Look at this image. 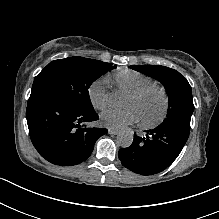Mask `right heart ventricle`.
Instances as JSON below:
<instances>
[{"label": "right heart ventricle", "instance_id": "obj_1", "mask_svg": "<svg viewBox=\"0 0 219 219\" xmlns=\"http://www.w3.org/2000/svg\"><path fill=\"white\" fill-rule=\"evenodd\" d=\"M113 83L120 89L131 93L146 85L154 84L155 81L139 71L122 69L114 74Z\"/></svg>", "mask_w": 219, "mask_h": 219}]
</instances>
